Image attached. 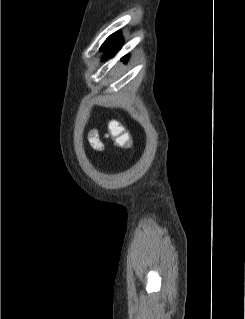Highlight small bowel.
<instances>
[{
  "mask_svg": "<svg viewBox=\"0 0 245 319\" xmlns=\"http://www.w3.org/2000/svg\"><path fill=\"white\" fill-rule=\"evenodd\" d=\"M90 141H91L92 146L95 149L102 150L103 145H102L101 141L99 140L98 135H97L96 132H91L90 133Z\"/></svg>",
  "mask_w": 245,
  "mask_h": 319,
  "instance_id": "1",
  "label": "small bowel"
}]
</instances>
